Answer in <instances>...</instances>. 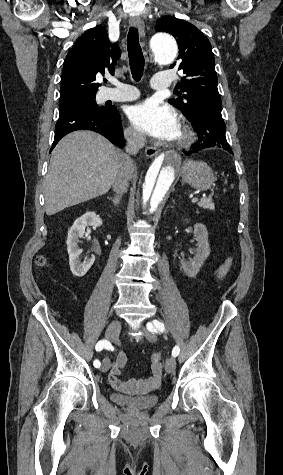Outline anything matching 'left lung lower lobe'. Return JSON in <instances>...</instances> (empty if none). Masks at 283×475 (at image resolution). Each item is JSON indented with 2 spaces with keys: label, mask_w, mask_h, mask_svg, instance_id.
I'll list each match as a JSON object with an SVG mask.
<instances>
[{
  "label": "left lung lower lobe",
  "mask_w": 283,
  "mask_h": 475,
  "mask_svg": "<svg viewBox=\"0 0 283 475\" xmlns=\"http://www.w3.org/2000/svg\"><path fill=\"white\" fill-rule=\"evenodd\" d=\"M199 140L185 155H191L204 148L219 147L233 153L225 136V123L221 115V104L204 103L199 106L196 114L190 118Z\"/></svg>",
  "instance_id": "obj_1"
}]
</instances>
